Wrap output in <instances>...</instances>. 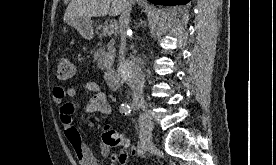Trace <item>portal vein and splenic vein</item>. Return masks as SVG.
Returning a JSON list of instances; mask_svg holds the SVG:
<instances>
[{"mask_svg":"<svg viewBox=\"0 0 276 165\" xmlns=\"http://www.w3.org/2000/svg\"><path fill=\"white\" fill-rule=\"evenodd\" d=\"M116 27V24H109V25H105L103 27V34L106 35H111L114 31V28Z\"/></svg>","mask_w":276,"mask_h":165,"instance_id":"1","label":"portal vein and splenic vein"}]
</instances>
